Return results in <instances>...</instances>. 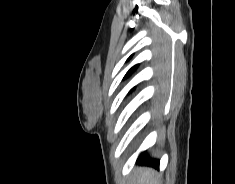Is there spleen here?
Returning a JSON list of instances; mask_svg holds the SVG:
<instances>
[{
	"instance_id": "spleen-1",
	"label": "spleen",
	"mask_w": 235,
	"mask_h": 184,
	"mask_svg": "<svg viewBox=\"0 0 235 184\" xmlns=\"http://www.w3.org/2000/svg\"><path fill=\"white\" fill-rule=\"evenodd\" d=\"M147 184H161L160 180H157V178H153V176H140L139 184H144V180H148Z\"/></svg>"
}]
</instances>
